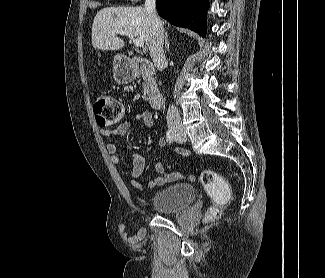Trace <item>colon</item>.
Instances as JSON below:
<instances>
[{
    "mask_svg": "<svg viewBox=\"0 0 325 278\" xmlns=\"http://www.w3.org/2000/svg\"><path fill=\"white\" fill-rule=\"evenodd\" d=\"M95 116L101 127H109L120 123L125 115L124 105L107 93L100 94L93 106ZM201 183L216 205L225 204L230 198L228 181L213 170H203ZM219 216V209L211 207L205 216L206 221H213Z\"/></svg>",
    "mask_w": 325,
    "mask_h": 278,
    "instance_id": "1",
    "label": "colon"
}]
</instances>
